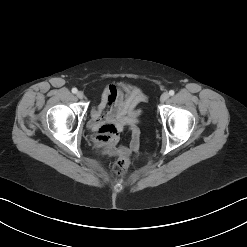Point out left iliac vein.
Returning a JSON list of instances; mask_svg holds the SVG:
<instances>
[{
    "label": "left iliac vein",
    "instance_id": "4c4485c4",
    "mask_svg": "<svg viewBox=\"0 0 247 247\" xmlns=\"http://www.w3.org/2000/svg\"><path fill=\"white\" fill-rule=\"evenodd\" d=\"M168 98H169V94H168L167 92H165V93H163V94L161 95L160 101H161L162 103H164V102H166V101L168 100Z\"/></svg>",
    "mask_w": 247,
    "mask_h": 247
}]
</instances>
